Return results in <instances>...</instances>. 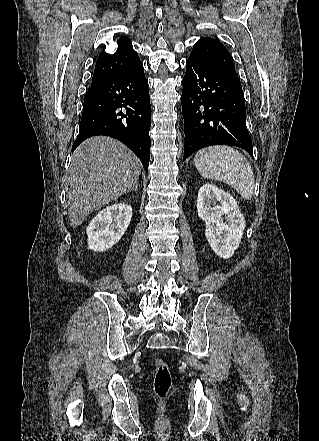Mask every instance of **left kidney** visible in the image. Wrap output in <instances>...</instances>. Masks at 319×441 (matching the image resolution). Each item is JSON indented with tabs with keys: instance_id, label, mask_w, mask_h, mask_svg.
<instances>
[{
	"instance_id": "left-kidney-1",
	"label": "left kidney",
	"mask_w": 319,
	"mask_h": 441,
	"mask_svg": "<svg viewBox=\"0 0 319 441\" xmlns=\"http://www.w3.org/2000/svg\"><path fill=\"white\" fill-rule=\"evenodd\" d=\"M216 202L221 205L212 207ZM197 211L199 218L206 222L205 236L213 251L223 259L232 257L240 245L245 229V218L235 199L207 183L199 189Z\"/></svg>"
}]
</instances>
